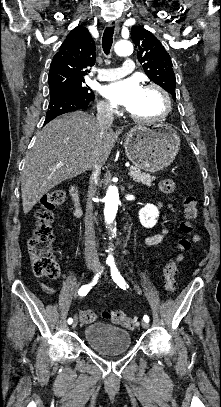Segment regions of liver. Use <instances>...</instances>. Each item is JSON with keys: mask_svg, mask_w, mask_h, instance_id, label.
<instances>
[{"mask_svg": "<svg viewBox=\"0 0 221 407\" xmlns=\"http://www.w3.org/2000/svg\"><path fill=\"white\" fill-rule=\"evenodd\" d=\"M111 128L100 132L97 120L76 111L49 122L38 133L21 174L24 214L52 188L87 170L94 156L103 165L116 141Z\"/></svg>", "mask_w": 221, "mask_h": 407, "instance_id": "1", "label": "liver"}]
</instances>
